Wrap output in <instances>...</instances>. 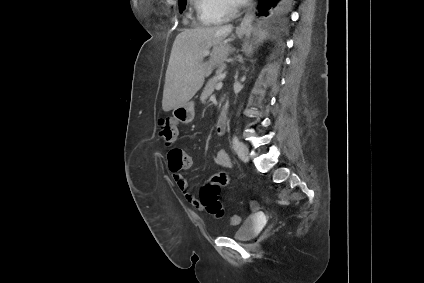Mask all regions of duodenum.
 <instances>
[{"instance_id": "obj_1", "label": "duodenum", "mask_w": 424, "mask_h": 283, "mask_svg": "<svg viewBox=\"0 0 424 283\" xmlns=\"http://www.w3.org/2000/svg\"><path fill=\"white\" fill-rule=\"evenodd\" d=\"M227 121H228V106L227 104H225L222 108V111L216 123V131L218 132V134H223L226 131Z\"/></svg>"}]
</instances>
